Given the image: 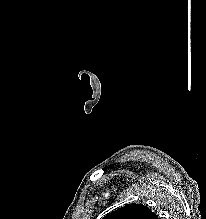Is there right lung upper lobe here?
<instances>
[{
    "label": "right lung upper lobe",
    "instance_id": "cb5924a9",
    "mask_svg": "<svg viewBox=\"0 0 206 219\" xmlns=\"http://www.w3.org/2000/svg\"><path fill=\"white\" fill-rule=\"evenodd\" d=\"M102 219H159L148 207L142 204H127L104 216Z\"/></svg>",
    "mask_w": 206,
    "mask_h": 219
}]
</instances>
